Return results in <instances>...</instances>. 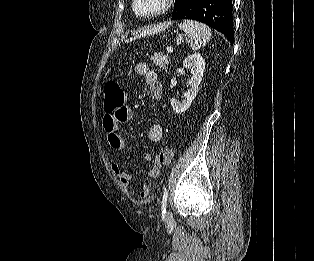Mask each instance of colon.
Returning a JSON list of instances; mask_svg holds the SVG:
<instances>
[{
  "label": "colon",
  "mask_w": 314,
  "mask_h": 261,
  "mask_svg": "<svg viewBox=\"0 0 314 261\" xmlns=\"http://www.w3.org/2000/svg\"><path fill=\"white\" fill-rule=\"evenodd\" d=\"M124 105V92L115 81H109L104 86V110L118 109ZM173 150L161 148L157 155V161L161 165H168L173 159Z\"/></svg>",
  "instance_id": "obj_1"
}]
</instances>
